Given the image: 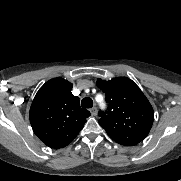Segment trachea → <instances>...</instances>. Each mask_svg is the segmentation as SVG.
Returning <instances> with one entry per match:
<instances>
[{
	"label": "trachea",
	"instance_id": "obj_1",
	"mask_svg": "<svg viewBox=\"0 0 181 181\" xmlns=\"http://www.w3.org/2000/svg\"><path fill=\"white\" fill-rule=\"evenodd\" d=\"M81 106L84 108H91L93 106V100L89 97H85L81 101Z\"/></svg>",
	"mask_w": 181,
	"mask_h": 181
}]
</instances>
